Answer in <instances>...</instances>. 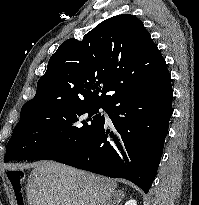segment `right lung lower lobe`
<instances>
[{"instance_id": "98d812e1", "label": "right lung lower lobe", "mask_w": 199, "mask_h": 205, "mask_svg": "<svg viewBox=\"0 0 199 205\" xmlns=\"http://www.w3.org/2000/svg\"><path fill=\"white\" fill-rule=\"evenodd\" d=\"M171 75L144 78L140 88L116 100L107 113L117 131L103 125L77 151L55 161L112 178H125L148 193L163 153L172 115ZM111 137V141L107 138Z\"/></svg>"}]
</instances>
